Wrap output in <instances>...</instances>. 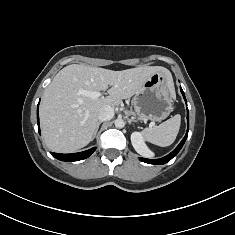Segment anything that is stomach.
<instances>
[{
  "label": "stomach",
  "instance_id": "0dacf381",
  "mask_svg": "<svg viewBox=\"0 0 235 235\" xmlns=\"http://www.w3.org/2000/svg\"><path fill=\"white\" fill-rule=\"evenodd\" d=\"M134 108L141 120L160 122L172 111L167 78L162 73L153 74L134 96Z\"/></svg>",
  "mask_w": 235,
  "mask_h": 235
}]
</instances>
